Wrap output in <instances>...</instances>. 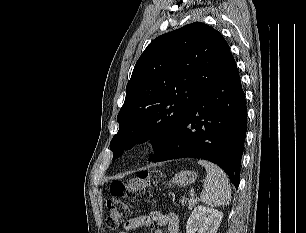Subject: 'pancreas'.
<instances>
[{"label": "pancreas", "mask_w": 306, "mask_h": 233, "mask_svg": "<svg viewBox=\"0 0 306 233\" xmlns=\"http://www.w3.org/2000/svg\"><path fill=\"white\" fill-rule=\"evenodd\" d=\"M198 201H199L198 198H190V199L182 198L180 200V203L182 206H187V208L191 210L198 203Z\"/></svg>", "instance_id": "obj_1"}]
</instances>
